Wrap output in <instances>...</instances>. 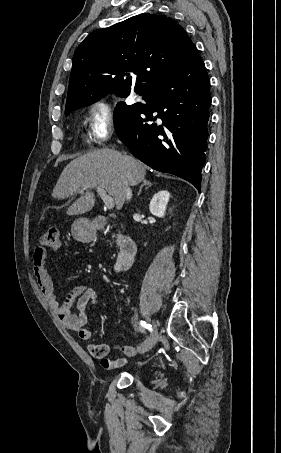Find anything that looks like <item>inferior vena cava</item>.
Here are the masks:
<instances>
[{
	"label": "inferior vena cava",
	"instance_id": "obj_1",
	"mask_svg": "<svg viewBox=\"0 0 281 453\" xmlns=\"http://www.w3.org/2000/svg\"><path fill=\"white\" fill-rule=\"evenodd\" d=\"M131 196H132L131 188H126V198H127V200H130Z\"/></svg>",
	"mask_w": 281,
	"mask_h": 453
}]
</instances>
